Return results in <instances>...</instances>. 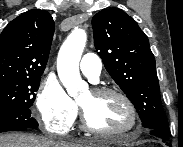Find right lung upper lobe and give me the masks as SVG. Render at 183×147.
I'll list each match as a JSON object with an SVG mask.
<instances>
[{
  "instance_id": "right-lung-upper-lobe-1",
  "label": "right lung upper lobe",
  "mask_w": 183,
  "mask_h": 147,
  "mask_svg": "<svg viewBox=\"0 0 183 147\" xmlns=\"http://www.w3.org/2000/svg\"><path fill=\"white\" fill-rule=\"evenodd\" d=\"M54 21L45 10H29L0 34V81L41 76L47 64Z\"/></svg>"
}]
</instances>
